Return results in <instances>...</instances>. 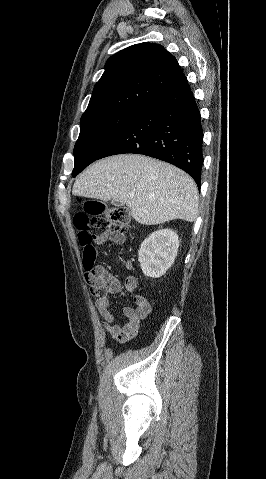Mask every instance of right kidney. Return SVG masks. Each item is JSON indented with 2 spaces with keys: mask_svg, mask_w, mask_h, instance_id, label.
Masks as SVG:
<instances>
[{
  "mask_svg": "<svg viewBox=\"0 0 266 479\" xmlns=\"http://www.w3.org/2000/svg\"><path fill=\"white\" fill-rule=\"evenodd\" d=\"M178 247V235L171 229H160L150 234L138 251L144 275L151 278L163 276L174 263Z\"/></svg>",
  "mask_w": 266,
  "mask_h": 479,
  "instance_id": "right-kidney-1",
  "label": "right kidney"
}]
</instances>
